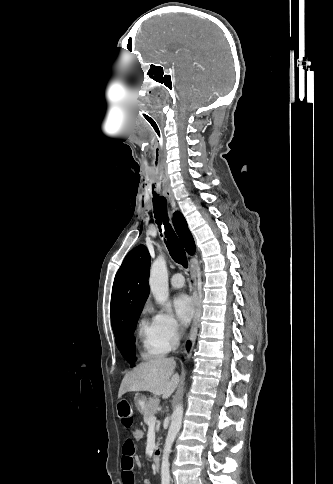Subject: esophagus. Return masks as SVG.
I'll return each mask as SVG.
<instances>
[{
    "label": "esophagus",
    "mask_w": 333,
    "mask_h": 484,
    "mask_svg": "<svg viewBox=\"0 0 333 484\" xmlns=\"http://www.w3.org/2000/svg\"><path fill=\"white\" fill-rule=\"evenodd\" d=\"M168 199H169V202H170V205L172 206V208H175L176 202L174 200V197L172 195H169ZM190 272H191V275L194 279V287H193V295H192L193 304H194V318H193V322H192L191 329H190L189 340L192 343H194L196 336H197L198 321H199V317H200V304H199V296H198L197 281H196L197 272H196V267H195L194 264H191Z\"/></svg>",
    "instance_id": "esophagus-1"
}]
</instances>
